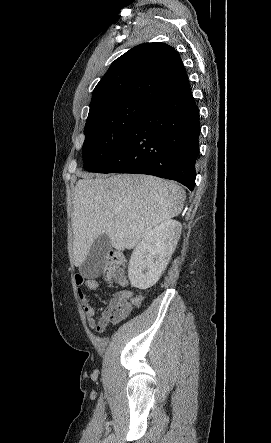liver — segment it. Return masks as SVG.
Segmentation results:
<instances>
[{
	"instance_id": "obj_1",
	"label": "liver",
	"mask_w": 271,
	"mask_h": 443,
	"mask_svg": "<svg viewBox=\"0 0 271 443\" xmlns=\"http://www.w3.org/2000/svg\"><path fill=\"white\" fill-rule=\"evenodd\" d=\"M80 174L74 190L73 263L85 261L95 239L109 235L115 249H131L167 218L181 214L186 198L176 182L144 174Z\"/></svg>"
}]
</instances>
